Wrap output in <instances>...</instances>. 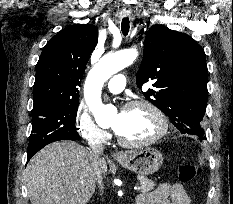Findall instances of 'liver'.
<instances>
[{"instance_id":"6515ba94","label":"liver","mask_w":233,"mask_h":204,"mask_svg":"<svg viewBox=\"0 0 233 204\" xmlns=\"http://www.w3.org/2000/svg\"><path fill=\"white\" fill-rule=\"evenodd\" d=\"M94 169L107 172L104 158L74 141H57L41 149L26 169L31 204H87L95 192Z\"/></svg>"}]
</instances>
